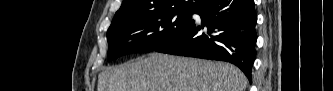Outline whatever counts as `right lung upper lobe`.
<instances>
[{"label":"right lung upper lobe","instance_id":"1","mask_svg":"<svg viewBox=\"0 0 333 91\" xmlns=\"http://www.w3.org/2000/svg\"><path fill=\"white\" fill-rule=\"evenodd\" d=\"M205 1L207 0H123L111 24L167 11L196 12Z\"/></svg>","mask_w":333,"mask_h":91}]
</instances>
